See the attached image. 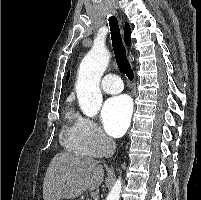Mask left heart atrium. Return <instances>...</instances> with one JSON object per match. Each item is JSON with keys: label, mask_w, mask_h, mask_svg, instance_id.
Masks as SVG:
<instances>
[{"label": "left heart atrium", "mask_w": 201, "mask_h": 200, "mask_svg": "<svg viewBox=\"0 0 201 200\" xmlns=\"http://www.w3.org/2000/svg\"><path fill=\"white\" fill-rule=\"evenodd\" d=\"M101 116L106 132L112 137H120L130 124L132 103L124 95L112 97L103 105Z\"/></svg>", "instance_id": "left-heart-atrium-1"}]
</instances>
